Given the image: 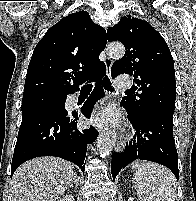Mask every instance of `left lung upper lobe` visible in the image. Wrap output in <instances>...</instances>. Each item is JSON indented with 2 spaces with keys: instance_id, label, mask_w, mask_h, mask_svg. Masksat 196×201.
<instances>
[{
  "instance_id": "1",
  "label": "left lung upper lobe",
  "mask_w": 196,
  "mask_h": 201,
  "mask_svg": "<svg viewBox=\"0 0 196 201\" xmlns=\"http://www.w3.org/2000/svg\"><path fill=\"white\" fill-rule=\"evenodd\" d=\"M107 39L126 47L124 57L111 68L112 77L134 75L135 88L142 92L121 102L128 114L137 117L148 110L174 114V61L163 37L148 22L128 15L107 29Z\"/></svg>"
}]
</instances>
